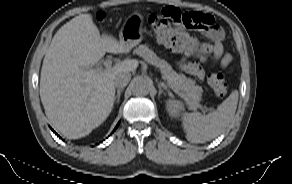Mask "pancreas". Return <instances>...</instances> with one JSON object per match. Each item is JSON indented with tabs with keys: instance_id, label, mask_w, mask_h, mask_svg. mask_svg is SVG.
I'll return each mask as SVG.
<instances>
[{
	"instance_id": "1",
	"label": "pancreas",
	"mask_w": 292,
	"mask_h": 184,
	"mask_svg": "<svg viewBox=\"0 0 292 184\" xmlns=\"http://www.w3.org/2000/svg\"><path fill=\"white\" fill-rule=\"evenodd\" d=\"M135 52L149 64L160 69L163 80H165L170 87L178 90L180 96L185 99L190 109H197L200 107L199 102L201 101L203 89L196 85L194 80L187 78L183 74H177L170 64L164 59H160L146 45H140L136 48Z\"/></svg>"
}]
</instances>
